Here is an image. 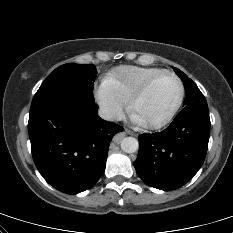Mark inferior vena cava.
<instances>
[{"instance_id": "obj_1", "label": "inferior vena cava", "mask_w": 233, "mask_h": 233, "mask_svg": "<svg viewBox=\"0 0 233 233\" xmlns=\"http://www.w3.org/2000/svg\"><path fill=\"white\" fill-rule=\"evenodd\" d=\"M99 116L108 121L115 120L117 118V113L109 107H100Z\"/></svg>"}]
</instances>
